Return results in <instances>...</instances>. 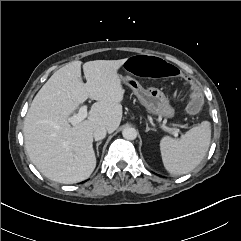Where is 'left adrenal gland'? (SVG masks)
Wrapping results in <instances>:
<instances>
[{
	"instance_id": "obj_1",
	"label": "left adrenal gland",
	"mask_w": 241,
	"mask_h": 241,
	"mask_svg": "<svg viewBox=\"0 0 241 241\" xmlns=\"http://www.w3.org/2000/svg\"><path fill=\"white\" fill-rule=\"evenodd\" d=\"M150 130L155 131V129L150 128V127L148 126V123H146V132H148V131H150Z\"/></svg>"
}]
</instances>
